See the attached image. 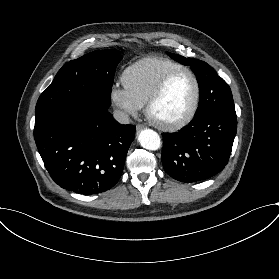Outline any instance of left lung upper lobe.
Returning <instances> with one entry per match:
<instances>
[{"mask_svg":"<svg viewBox=\"0 0 279 279\" xmlns=\"http://www.w3.org/2000/svg\"><path fill=\"white\" fill-rule=\"evenodd\" d=\"M167 54L179 63L191 66V69L196 74L200 98L195 117L210 111L236 116L230 87L217 75L214 69L206 62L198 59L185 58L172 53Z\"/></svg>","mask_w":279,"mask_h":279,"instance_id":"1","label":"left lung upper lobe"}]
</instances>
